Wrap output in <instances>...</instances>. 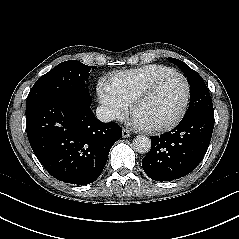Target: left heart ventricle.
Listing matches in <instances>:
<instances>
[{"label": "left heart ventricle", "instance_id": "left-heart-ventricle-1", "mask_svg": "<svg viewBox=\"0 0 239 239\" xmlns=\"http://www.w3.org/2000/svg\"><path fill=\"white\" fill-rule=\"evenodd\" d=\"M185 97V85L178 76L164 79L152 93L141 103L135 117L146 126H158L174 119L181 110Z\"/></svg>", "mask_w": 239, "mask_h": 239}]
</instances>
